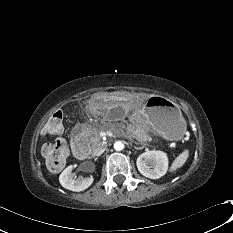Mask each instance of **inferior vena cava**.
Here are the masks:
<instances>
[{
    "label": "inferior vena cava",
    "mask_w": 233,
    "mask_h": 233,
    "mask_svg": "<svg viewBox=\"0 0 233 233\" xmlns=\"http://www.w3.org/2000/svg\"><path fill=\"white\" fill-rule=\"evenodd\" d=\"M104 150H105V149H101V150L97 151L96 155H97V156H100V155L104 152Z\"/></svg>",
    "instance_id": "inferior-vena-cava-1"
}]
</instances>
